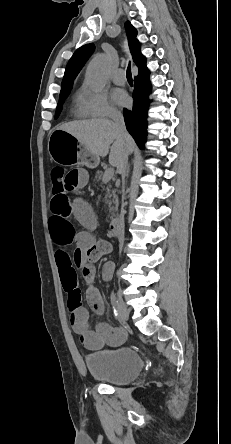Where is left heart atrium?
<instances>
[{"label":"left heart atrium","instance_id":"left-heart-atrium-1","mask_svg":"<svg viewBox=\"0 0 231 444\" xmlns=\"http://www.w3.org/2000/svg\"><path fill=\"white\" fill-rule=\"evenodd\" d=\"M113 101L119 106H127L130 102L129 96L122 90H116L112 94Z\"/></svg>","mask_w":231,"mask_h":444}]
</instances>
